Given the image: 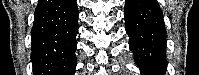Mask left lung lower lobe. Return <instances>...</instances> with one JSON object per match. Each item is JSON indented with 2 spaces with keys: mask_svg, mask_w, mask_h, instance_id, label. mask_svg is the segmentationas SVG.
Masks as SVG:
<instances>
[{
  "mask_svg": "<svg viewBox=\"0 0 199 75\" xmlns=\"http://www.w3.org/2000/svg\"><path fill=\"white\" fill-rule=\"evenodd\" d=\"M125 29L142 75H164L167 68L166 29L156 0H126Z\"/></svg>",
  "mask_w": 199,
  "mask_h": 75,
  "instance_id": "1",
  "label": "left lung lower lobe"
}]
</instances>
